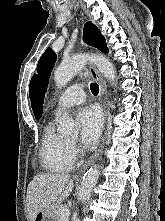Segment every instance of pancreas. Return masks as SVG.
I'll return each instance as SVG.
<instances>
[{"instance_id": "cf45deb5", "label": "pancreas", "mask_w": 165, "mask_h": 221, "mask_svg": "<svg viewBox=\"0 0 165 221\" xmlns=\"http://www.w3.org/2000/svg\"><path fill=\"white\" fill-rule=\"evenodd\" d=\"M64 205H56L55 206V218L56 221H63L60 215V211L64 208Z\"/></svg>"}]
</instances>
